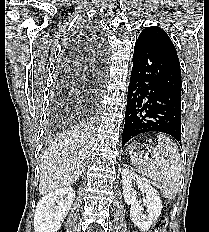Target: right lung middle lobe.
Wrapping results in <instances>:
<instances>
[{
    "label": "right lung middle lobe",
    "instance_id": "obj_1",
    "mask_svg": "<svg viewBox=\"0 0 209 232\" xmlns=\"http://www.w3.org/2000/svg\"><path fill=\"white\" fill-rule=\"evenodd\" d=\"M55 120H56L57 122H58V121H62V118H61V117H58V118L54 119V121H55Z\"/></svg>",
    "mask_w": 209,
    "mask_h": 232
}]
</instances>
